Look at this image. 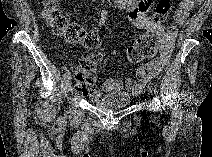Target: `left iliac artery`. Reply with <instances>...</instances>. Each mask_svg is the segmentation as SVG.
<instances>
[{
    "mask_svg": "<svg viewBox=\"0 0 212 157\" xmlns=\"http://www.w3.org/2000/svg\"><path fill=\"white\" fill-rule=\"evenodd\" d=\"M150 92L154 96L156 106L159 107L160 106V100H159V97H158V94H157V90L155 88H151Z\"/></svg>",
    "mask_w": 212,
    "mask_h": 157,
    "instance_id": "obj_1",
    "label": "left iliac artery"
}]
</instances>
